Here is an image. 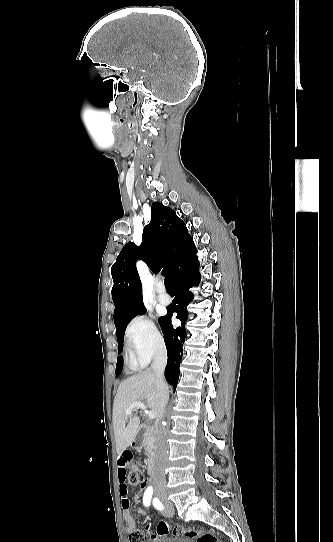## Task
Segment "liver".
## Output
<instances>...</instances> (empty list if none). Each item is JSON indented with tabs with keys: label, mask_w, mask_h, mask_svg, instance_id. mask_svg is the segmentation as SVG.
<instances>
[{
	"label": "liver",
	"mask_w": 333,
	"mask_h": 542,
	"mask_svg": "<svg viewBox=\"0 0 333 542\" xmlns=\"http://www.w3.org/2000/svg\"><path fill=\"white\" fill-rule=\"evenodd\" d=\"M134 402H141V404L150 408L151 412H156L158 420V396L152 368H146L141 374L126 378L118 386L113 404V430L118 456H121L122 452L131 446L139 432L140 420L136 416L138 408L131 410V414H125L126 410Z\"/></svg>",
	"instance_id": "obj_1"
}]
</instances>
